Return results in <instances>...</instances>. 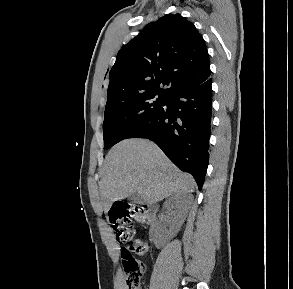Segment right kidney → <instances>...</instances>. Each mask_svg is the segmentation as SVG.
<instances>
[{
  "instance_id": "ca27d5eb",
  "label": "right kidney",
  "mask_w": 293,
  "mask_h": 289,
  "mask_svg": "<svg viewBox=\"0 0 293 289\" xmlns=\"http://www.w3.org/2000/svg\"><path fill=\"white\" fill-rule=\"evenodd\" d=\"M164 209L169 212L171 211L174 216L170 223L169 230V234L173 236L179 231L186 218V208L183 206L180 195L175 194L168 198L164 203ZM172 209H175V211H172Z\"/></svg>"
}]
</instances>
